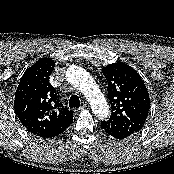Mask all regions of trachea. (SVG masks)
I'll return each instance as SVG.
<instances>
[{"mask_svg": "<svg viewBox=\"0 0 174 174\" xmlns=\"http://www.w3.org/2000/svg\"><path fill=\"white\" fill-rule=\"evenodd\" d=\"M69 107L70 108H79L80 107V99L77 95H72L69 99Z\"/></svg>", "mask_w": 174, "mask_h": 174, "instance_id": "obj_1", "label": "trachea"}]
</instances>
